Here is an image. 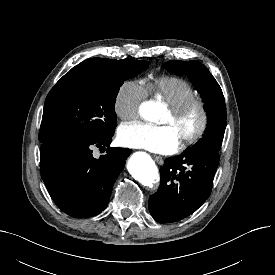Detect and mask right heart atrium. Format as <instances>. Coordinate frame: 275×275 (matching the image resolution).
Segmentation results:
<instances>
[{"label":"right heart atrium","instance_id":"right-heart-atrium-1","mask_svg":"<svg viewBox=\"0 0 275 275\" xmlns=\"http://www.w3.org/2000/svg\"><path fill=\"white\" fill-rule=\"evenodd\" d=\"M147 97L146 87L137 80H126L117 89L113 109L122 120L138 116L141 103Z\"/></svg>","mask_w":275,"mask_h":275}]
</instances>
